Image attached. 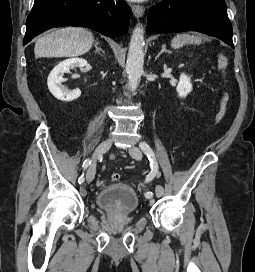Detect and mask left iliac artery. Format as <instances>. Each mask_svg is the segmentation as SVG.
Segmentation results:
<instances>
[{
	"label": "left iliac artery",
	"mask_w": 255,
	"mask_h": 272,
	"mask_svg": "<svg viewBox=\"0 0 255 272\" xmlns=\"http://www.w3.org/2000/svg\"><path fill=\"white\" fill-rule=\"evenodd\" d=\"M139 146H140L141 150L144 152V154L147 155V157L150 161L151 169H152V171L147 175V178L144 182V185H147V183L151 182L152 179H154L156 174L158 173V164H157L153 150L146 142H141ZM152 195L153 194L151 192L145 193V196L147 198H151Z\"/></svg>",
	"instance_id": "left-iliac-artery-1"
}]
</instances>
